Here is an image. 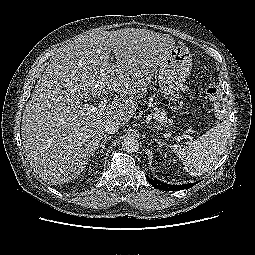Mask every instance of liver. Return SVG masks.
<instances>
[{
  "instance_id": "1",
  "label": "liver",
  "mask_w": 255,
  "mask_h": 255,
  "mask_svg": "<svg viewBox=\"0 0 255 255\" xmlns=\"http://www.w3.org/2000/svg\"><path fill=\"white\" fill-rule=\"evenodd\" d=\"M175 47L169 34L146 29L92 30L60 47L26 104L21 136L34 172L47 184L78 176L96 151L108 121L124 126L153 74ZM113 52L116 64L109 62ZM116 92L105 108L83 101Z\"/></svg>"
}]
</instances>
